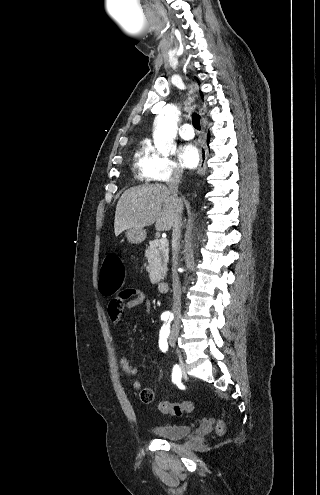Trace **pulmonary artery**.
<instances>
[{
	"mask_svg": "<svg viewBox=\"0 0 320 495\" xmlns=\"http://www.w3.org/2000/svg\"><path fill=\"white\" fill-rule=\"evenodd\" d=\"M179 135L185 140L192 139L194 137V130L191 124L184 123L179 128Z\"/></svg>",
	"mask_w": 320,
	"mask_h": 495,
	"instance_id": "pulmonary-artery-1",
	"label": "pulmonary artery"
}]
</instances>
